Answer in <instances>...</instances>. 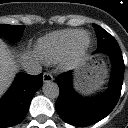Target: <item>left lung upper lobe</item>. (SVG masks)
<instances>
[{"instance_id": "left-lung-upper-lobe-1", "label": "left lung upper lobe", "mask_w": 128, "mask_h": 128, "mask_svg": "<svg viewBox=\"0 0 128 128\" xmlns=\"http://www.w3.org/2000/svg\"><path fill=\"white\" fill-rule=\"evenodd\" d=\"M93 27L95 28L97 33L98 47L116 42L115 38L100 26L93 24Z\"/></svg>"}]
</instances>
